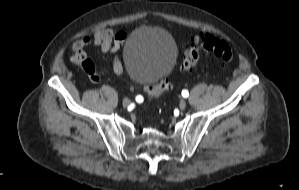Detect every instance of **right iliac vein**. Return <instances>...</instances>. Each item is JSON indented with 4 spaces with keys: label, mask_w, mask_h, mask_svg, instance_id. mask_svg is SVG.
Instances as JSON below:
<instances>
[{
    "label": "right iliac vein",
    "mask_w": 299,
    "mask_h": 190,
    "mask_svg": "<svg viewBox=\"0 0 299 190\" xmlns=\"http://www.w3.org/2000/svg\"><path fill=\"white\" fill-rule=\"evenodd\" d=\"M122 104H123L124 107H128L129 104H130V99L124 98Z\"/></svg>",
    "instance_id": "right-iliac-vein-1"
}]
</instances>
